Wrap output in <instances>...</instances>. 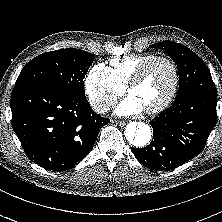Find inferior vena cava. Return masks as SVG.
<instances>
[{
	"label": "inferior vena cava",
	"mask_w": 222,
	"mask_h": 222,
	"mask_svg": "<svg viewBox=\"0 0 222 222\" xmlns=\"http://www.w3.org/2000/svg\"><path fill=\"white\" fill-rule=\"evenodd\" d=\"M110 109V105L102 104L99 106H96L95 110L99 113H105L108 112Z\"/></svg>",
	"instance_id": "602c4592"
}]
</instances>
